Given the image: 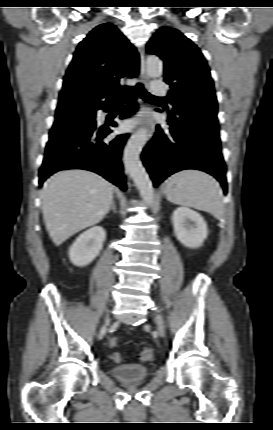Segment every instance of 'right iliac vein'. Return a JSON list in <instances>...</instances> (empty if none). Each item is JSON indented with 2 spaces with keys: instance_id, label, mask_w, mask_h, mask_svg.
Wrapping results in <instances>:
<instances>
[{
  "instance_id": "obj_1",
  "label": "right iliac vein",
  "mask_w": 273,
  "mask_h": 430,
  "mask_svg": "<svg viewBox=\"0 0 273 430\" xmlns=\"http://www.w3.org/2000/svg\"><path fill=\"white\" fill-rule=\"evenodd\" d=\"M105 322H106V323H108V322H109V318H108V317H106ZM102 328H103V329H105V328H106V324H105Z\"/></svg>"
}]
</instances>
